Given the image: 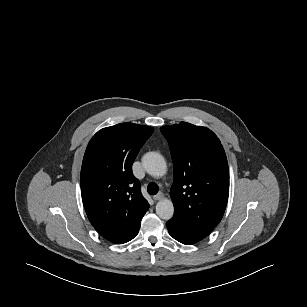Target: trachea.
<instances>
[{
  "label": "trachea",
  "mask_w": 307,
  "mask_h": 307,
  "mask_svg": "<svg viewBox=\"0 0 307 307\" xmlns=\"http://www.w3.org/2000/svg\"><path fill=\"white\" fill-rule=\"evenodd\" d=\"M159 187L156 183H149L147 186V191L151 195H156L158 193Z\"/></svg>",
  "instance_id": "1"
}]
</instances>
